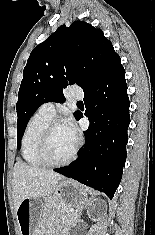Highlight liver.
I'll return each mask as SVG.
<instances>
[{
  "instance_id": "1",
  "label": "liver",
  "mask_w": 155,
  "mask_h": 235,
  "mask_svg": "<svg viewBox=\"0 0 155 235\" xmlns=\"http://www.w3.org/2000/svg\"><path fill=\"white\" fill-rule=\"evenodd\" d=\"M64 177L52 170L27 165L18 161L13 169V200L15 210L25 198H47Z\"/></svg>"
}]
</instances>
